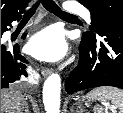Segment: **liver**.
<instances>
[{
	"mask_svg": "<svg viewBox=\"0 0 123 113\" xmlns=\"http://www.w3.org/2000/svg\"><path fill=\"white\" fill-rule=\"evenodd\" d=\"M26 104L21 91L15 88L1 90V113H23Z\"/></svg>",
	"mask_w": 123,
	"mask_h": 113,
	"instance_id": "1",
	"label": "liver"
}]
</instances>
